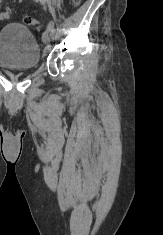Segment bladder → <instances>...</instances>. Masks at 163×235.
Masks as SVG:
<instances>
[{
  "label": "bladder",
  "mask_w": 163,
  "mask_h": 235,
  "mask_svg": "<svg viewBox=\"0 0 163 235\" xmlns=\"http://www.w3.org/2000/svg\"><path fill=\"white\" fill-rule=\"evenodd\" d=\"M40 58L38 42L25 25L10 23L0 30V65L31 69L39 65Z\"/></svg>",
  "instance_id": "bladder-1"
}]
</instances>
